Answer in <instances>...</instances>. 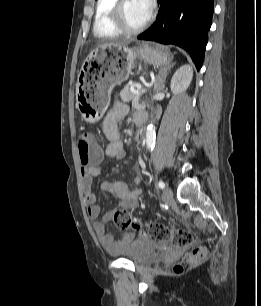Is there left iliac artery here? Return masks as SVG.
<instances>
[{
  "label": "left iliac artery",
  "mask_w": 261,
  "mask_h": 306,
  "mask_svg": "<svg viewBox=\"0 0 261 306\" xmlns=\"http://www.w3.org/2000/svg\"><path fill=\"white\" fill-rule=\"evenodd\" d=\"M158 186H159V188H161V189H163L164 187H165V183L163 182V181H159L158 182Z\"/></svg>",
  "instance_id": "left-iliac-artery-1"
}]
</instances>
